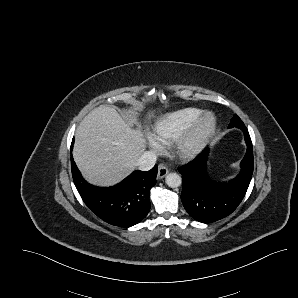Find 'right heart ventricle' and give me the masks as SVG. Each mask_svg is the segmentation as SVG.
Instances as JSON below:
<instances>
[{"mask_svg": "<svg viewBox=\"0 0 298 298\" xmlns=\"http://www.w3.org/2000/svg\"><path fill=\"white\" fill-rule=\"evenodd\" d=\"M203 110L196 107L182 108L176 114L171 115L166 120L160 121L158 128L163 133L165 141H170L177 133L191 124Z\"/></svg>", "mask_w": 298, "mask_h": 298, "instance_id": "obj_1", "label": "right heart ventricle"}]
</instances>
